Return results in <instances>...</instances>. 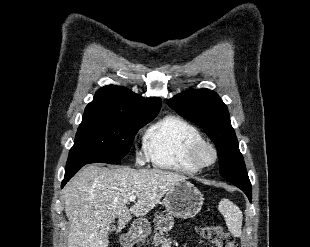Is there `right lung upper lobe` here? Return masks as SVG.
Here are the masks:
<instances>
[{"label": "right lung upper lobe", "mask_w": 310, "mask_h": 247, "mask_svg": "<svg viewBox=\"0 0 310 247\" xmlns=\"http://www.w3.org/2000/svg\"><path fill=\"white\" fill-rule=\"evenodd\" d=\"M160 98H143L123 87L114 85L99 89L85 109L84 115H113L128 118L156 116Z\"/></svg>", "instance_id": "obj_1"}]
</instances>
